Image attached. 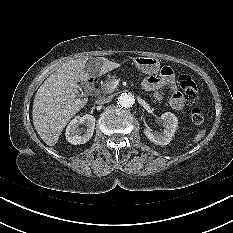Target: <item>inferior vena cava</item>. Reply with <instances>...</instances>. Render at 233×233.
I'll return each instance as SVG.
<instances>
[{
  "label": "inferior vena cava",
  "instance_id": "602c4592",
  "mask_svg": "<svg viewBox=\"0 0 233 233\" xmlns=\"http://www.w3.org/2000/svg\"><path fill=\"white\" fill-rule=\"evenodd\" d=\"M111 101L110 97L100 96L99 99L96 100L97 104H105Z\"/></svg>",
  "mask_w": 233,
  "mask_h": 233
}]
</instances>
